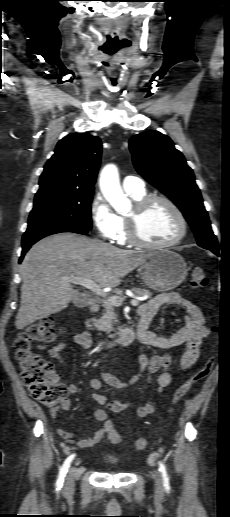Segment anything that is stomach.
Masks as SVG:
<instances>
[{"instance_id": "0dacf381", "label": "stomach", "mask_w": 230, "mask_h": 517, "mask_svg": "<svg viewBox=\"0 0 230 517\" xmlns=\"http://www.w3.org/2000/svg\"><path fill=\"white\" fill-rule=\"evenodd\" d=\"M144 284L156 291L166 292L179 286L187 276V265L178 253L168 250L150 252L139 267Z\"/></svg>"}]
</instances>
